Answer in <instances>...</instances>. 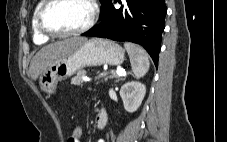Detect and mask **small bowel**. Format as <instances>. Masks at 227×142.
Wrapping results in <instances>:
<instances>
[{
    "label": "small bowel",
    "mask_w": 227,
    "mask_h": 142,
    "mask_svg": "<svg viewBox=\"0 0 227 142\" xmlns=\"http://www.w3.org/2000/svg\"><path fill=\"white\" fill-rule=\"evenodd\" d=\"M68 142H73L72 139H71L70 137L68 138ZM97 142H106V141L103 140V139H100V140H98Z\"/></svg>",
    "instance_id": "obj_1"
}]
</instances>
